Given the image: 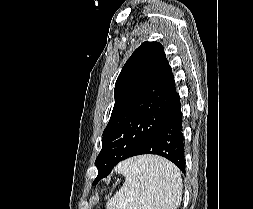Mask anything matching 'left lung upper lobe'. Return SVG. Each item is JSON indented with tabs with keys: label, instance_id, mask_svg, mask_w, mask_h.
<instances>
[{
	"label": "left lung upper lobe",
	"instance_id": "1",
	"mask_svg": "<svg viewBox=\"0 0 253 209\" xmlns=\"http://www.w3.org/2000/svg\"><path fill=\"white\" fill-rule=\"evenodd\" d=\"M114 97L95 161L96 178L140 150L178 106L179 94L160 43L146 41L132 53L117 78Z\"/></svg>",
	"mask_w": 253,
	"mask_h": 209
}]
</instances>
